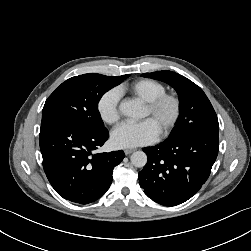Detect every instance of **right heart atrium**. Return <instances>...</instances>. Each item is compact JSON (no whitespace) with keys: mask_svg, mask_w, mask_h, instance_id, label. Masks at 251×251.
I'll return each mask as SVG.
<instances>
[{"mask_svg":"<svg viewBox=\"0 0 251 251\" xmlns=\"http://www.w3.org/2000/svg\"><path fill=\"white\" fill-rule=\"evenodd\" d=\"M119 100L120 92L116 88L109 89L100 96L97 111L103 122L112 125L119 120Z\"/></svg>","mask_w":251,"mask_h":251,"instance_id":"1","label":"right heart atrium"}]
</instances>
